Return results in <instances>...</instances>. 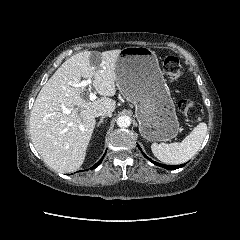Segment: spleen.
I'll return each mask as SVG.
<instances>
[{"label": "spleen", "instance_id": "obj_1", "mask_svg": "<svg viewBox=\"0 0 240 240\" xmlns=\"http://www.w3.org/2000/svg\"><path fill=\"white\" fill-rule=\"evenodd\" d=\"M207 133V124L199 123L181 142L151 145L154 156L167 164H182L191 159L200 149Z\"/></svg>", "mask_w": 240, "mask_h": 240}]
</instances>
